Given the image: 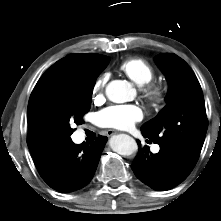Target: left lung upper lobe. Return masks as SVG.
<instances>
[{
	"mask_svg": "<svg viewBox=\"0 0 221 221\" xmlns=\"http://www.w3.org/2000/svg\"><path fill=\"white\" fill-rule=\"evenodd\" d=\"M156 63L169 83L167 104L141 131L154 143L177 148L197 161L208 126L199 81L188 64L175 54H160Z\"/></svg>",
	"mask_w": 221,
	"mask_h": 221,
	"instance_id": "5c2ea615",
	"label": "left lung upper lobe"
}]
</instances>
